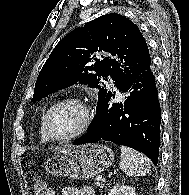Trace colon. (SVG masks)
<instances>
[{"mask_svg":"<svg viewBox=\"0 0 189 195\" xmlns=\"http://www.w3.org/2000/svg\"><path fill=\"white\" fill-rule=\"evenodd\" d=\"M33 195H54L53 191L43 181H36L32 189Z\"/></svg>","mask_w":189,"mask_h":195,"instance_id":"colon-1","label":"colon"}]
</instances>
